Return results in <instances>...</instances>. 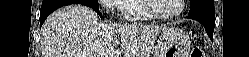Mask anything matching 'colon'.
<instances>
[{"label":"colon","instance_id":"colon-1","mask_svg":"<svg viewBox=\"0 0 249 57\" xmlns=\"http://www.w3.org/2000/svg\"><path fill=\"white\" fill-rule=\"evenodd\" d=\"M190 57H204V53L200 48H194L191 51Z\"/></svg>","mask_w":249,"mask_h":57}]
</instances>
